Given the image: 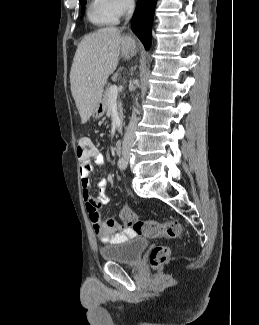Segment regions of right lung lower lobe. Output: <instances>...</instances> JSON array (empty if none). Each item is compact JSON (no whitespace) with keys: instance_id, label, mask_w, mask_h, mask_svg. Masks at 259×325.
<instances>
[{"instance_id":"1","label":"right lung lower lobe","mask_w":259,"mask_h":325,"mask_svg":"<svg viewBox=\"0 0 259 325\" xmlns=\"http://www.w3.org/2000/svg\"><path fill=\"white\" fill-rule=\"evenodd\" d=\"M156 1L138 0L131 22L133 32L142 41L146 50L151 45V28Z\"/></svg>"}]
</instances>
